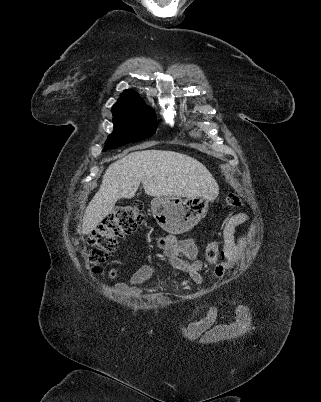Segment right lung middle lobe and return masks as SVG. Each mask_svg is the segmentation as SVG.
Returning <instances> with one entry per match:
<instances>
[{
	"label": "right lung middle lobe",
	"instance_id": "right-lung-middle-lobe-1",
	"mask_svg": "<svg viewBox=\"0 0 321 402\" xmlns=\"http://www.w3.org/2000/svg\"><path fill=\"white\" fill-rule=\"evenodd\" d=\"M112 114L114 131L109 135L104 151L148 138L157 129L155 114L149 108L115 104Z\"/></svg>",
	"mask_w": 321,
	"mask_h": 402
}]
</instances>
